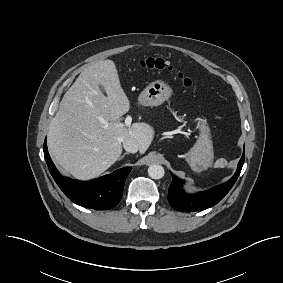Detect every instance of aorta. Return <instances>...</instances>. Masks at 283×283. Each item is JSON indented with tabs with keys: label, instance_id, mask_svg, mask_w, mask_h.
<instances>
[{
	"label": "aorta",
	"instance_id": "762f6f07",
	"mask_svg": "<svg viewBox=\"0 0 283 283\" xmlns=\"http://www.w3.org/2000/svg\"><path fill=\"white\" fill-rule=\"evenodd\" d=\"M148 174L152 179H161L164 174V168L161 165L153 164L148 168Z\"/></svg>",
	"mask_w": 283,
	"mask_h": 283
}]
</instances>
